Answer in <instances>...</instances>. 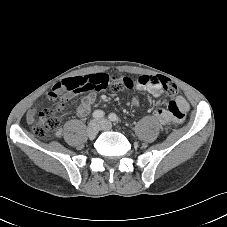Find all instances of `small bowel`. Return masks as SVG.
Wrapping results in <instances>:
<instances>
[{
  "label": "small bowel",
  "instance_id": "1",
  "mask_svg": "<svg viewBox=\"0 0 227 227\" xmlns=\"http://www.w3.org/2000/svg\"><path fill=\"white\" fill-rule=\"evenodd\" d=\"M146 76L147 75L141 77ZM132 84L133 79L130 76L118 77L117 75H112L110 77L107 73H93L78 77H70L69 79L58 82L49 90V98L57 100V107L62 109L76 94L84 93L85 95L82 97L77 109V115L85 117L90 113L91 107L95 102V93L104 92L110 85L130 87ZM136 86L139 90L146 91L154 97L160 96L163 91L160 84L138 83ZM188 110L189 104L187 100L181 95H176L174 99L169 102L166 109L157 108L154 114L161 123L169 125L171 123L181 122ZM35 114L36 110L34 108L27 112V121L30 124L34 123Z\"/></svg>",
  "mask_w": 227,
  "mask_h": 227
}]
</instances>
